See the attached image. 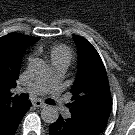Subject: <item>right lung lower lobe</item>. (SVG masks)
Returning a JSON list of instances; mask_svg holds the SVG:
<instances>
[{
    "mask_svg": "<svg viewBox=\"0 0 135 135\" xmlns=\"http://www.w3.org/2000/svg\"><path fill=\"white\" fill-rule=\"evenodd\" d=\"M31 106L30 101H20L0 107V135H14L25 113Z\"/></svg>",
    "mask_w": 135,
    "mask_h": 135,
    "instance_id": "obj_1",
    "label": "right lung lower lobe"
}]
</instances>
